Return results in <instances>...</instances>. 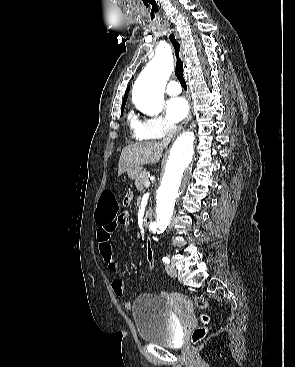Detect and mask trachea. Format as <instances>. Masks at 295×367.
I'll return each mask as SVG.
<instances>
[{
    "label": "trachea",
    "mask_w": 295,
    "mask_h": 367,
    "mask_svg": "<svg viewBox=\"0 0 295 367\" xmlns=\"http://www.w3.org/2000/svg\"><path fill=\"white\" fill-rule=\"evenodd\" d=\"M169 39L174 47L175 50V55H176V67H175V75L178 78L181 86L186 89L187 88V84L186 81L184 79L183 76V62L179 56V52H180V45L179 42L176 40L175 36L173 34H171L169 36Z\"/></svg>",
    "instance_id": "obj_1"
}]
</instances>
